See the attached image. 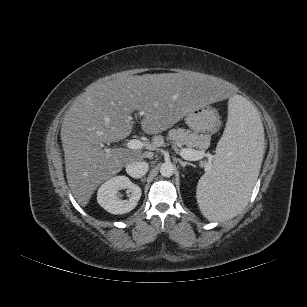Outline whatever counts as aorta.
<instances>
[{
	"label": "aorta",
	"instance_id": "obj_1",
	"mask_svg": "<svg viewBox=\"0 0 307 307\" xmlns=\"http://www.w3.org/2000/svg\"><path fill=\"white\" fill-rule=\"evenodd\" d=\"M174 173V167L171 163L165 162L160 166V174L163 177H171Z\"/></svg>",
	"mask_w": 307,
	"mask_h": 307
}]
</instances>
